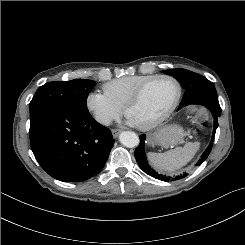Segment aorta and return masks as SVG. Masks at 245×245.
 Here are the masks:
<instances>
[{"label": "aorta", "mask_w": 245, "mask_h": 245, "mask_svg": "<svg viewBox=\"0 0 245 245\" xmlns=\"http://www.w3.org/2000/svg\"><path fill=\"white\" fill-rule=\"evenodd\" d=\"M119 141L128 148H133L139 144V137L132 131H124L119 136Z\"/></svg>", "instance_id": "aorta-1"}]
</instances>
